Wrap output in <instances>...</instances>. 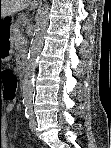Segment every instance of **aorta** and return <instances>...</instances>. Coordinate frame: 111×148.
<instances>
[{
    "mask_svg": "<svg viewBox=\"0 0 111 148\" xmlns=\"http://www.w3.org/2000/svg\"><path fill=\"white\" fill-rule=\"evenodd\" d=\"M48 10H49L48 5H44L38 10V13L36 16L34 34L31 41V46L29 48L27 65H26V70H25L24 79L22 83L23 101L26 104H31L32 101L34 100L35 69L37 66L39 54L43 46L44 34L49 22Z\"/></svg>",
    "mask_w": 111,
    "mask_h": 148,
    "instance_id": "aorta-1",
    "label": "aorta"
}]
</instances>
